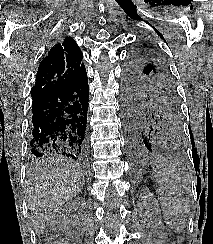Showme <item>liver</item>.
Wrapping results in <instances>:
<instances>
[{
  "mask_svg": "<svg viewBox=\"0 0 213 244\" xmlns=\"http://www.w3.org/2000/svg\"><path fill=\"white\" fill-rule=\"evenodd\" d=\"M84 181L80 165L72 160L52 157L37 163L26 179V200L36 234L44 232L55 212L81 191Z\"/></svg>",
  "mask_w": 213,
  "mask_h": 244,
  "instance_id": "1",
  "label": "liver"
}]
</instances>
